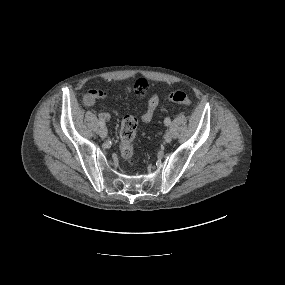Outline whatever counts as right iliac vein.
Wrapping results in <instances>:
<instances>
[{"label":"right iliac vein","instance_id":"obj_1","mask_svg":"<svg viewBox=\"0 0 285 285\" xmlns=\"http://www.w3.org/2000/svg\"><path fill=\"white\" fill-rule=\"evenodd\" d=\"M107 129H106V127H104V126H101L100 128H99V130H98V134L102 137V138H105V137H107Z\"/></svg>","mask_w":285,"mask_h":285}]
</instances>
